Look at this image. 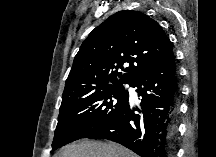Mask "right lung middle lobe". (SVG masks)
Returning <instances> with one entry per match:
<instances>
[{"instance_id":"right-lung-middle-lobe-1","label":"right lung middle lobe","mask_w":216,"mask_h":157,"mask_svg":"<svg viewBox=\"0 0 216 157\" xmlns=\"http://www.w3.org/2000/svg\"><path fill=\"white\" fill-rule=\"evenodd\" d=\"M129 99L123 85L84 92L61 104L53 150L85 138L110 122Z\"/></svg>"}]
</instances>
